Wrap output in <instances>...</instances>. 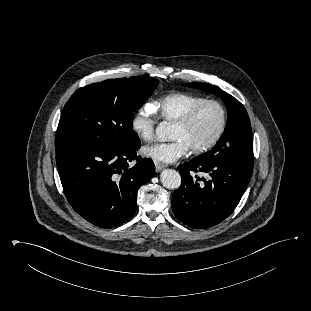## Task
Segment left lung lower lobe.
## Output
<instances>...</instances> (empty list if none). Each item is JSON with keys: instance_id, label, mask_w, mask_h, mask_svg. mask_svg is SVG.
Returning <instances> with one entry per match:
<instances>
[{"instance_id": "obj_1", "label": "left lung lower lobe", "mask_w": 311, "mask_h": 311, "mask_svg": "<svg viewBox=\"0 0 311 311\" xmlns=\"http://www.w3.org/2000/svg\"><path fill=\"white\" fill-rule=\"evenodd\" d=\"M253 158L231 156L206 159L200 156L179 166L180 188L173 193L172 209L185 225L212 227L227 218L238 205L251 179ZM206 173L207 179L194 176Z\"/></svg>"}]
</instances>
